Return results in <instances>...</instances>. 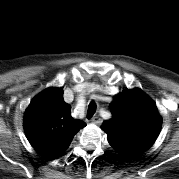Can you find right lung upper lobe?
<instances>
[{
	"label": "right lung upper lobe",
	"mask_w": 179,
	"mask_h": 179,
	"mask_svg": "<svg viewBox=\"0 0 179 179\" xmlns=\"http://www.w3.org/2000/svg\"><path fill=\"white\" fill-rule=\"evenodd\" d=\"M70 111L62 88H48L37 95L24 116V129L31 145L49 156L65 151L79 129L86 126L73 119Z\"/></svg>",
	"instance_id": "cb5924a9"
}]
</instances>
